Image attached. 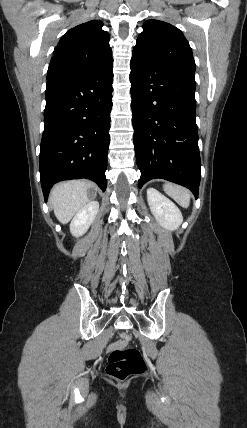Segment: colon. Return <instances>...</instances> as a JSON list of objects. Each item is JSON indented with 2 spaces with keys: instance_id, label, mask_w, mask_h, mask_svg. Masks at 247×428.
Segmentation results:
<instances>
[{
  "instance_id": "5ec220e1",
  "label": "colon",
  "mask_w": 247,
  "mask_h": 428,
  "mask_svg": "<svg viewBox=\"0 0 247 428\" xmlns=\"http://www.w3.org/2000/svg\"><path fill=\"white\" fill-rule=\"evenodd\" d=\"M106 370L111 377L117 380H125L134 374H140L145 371V363L141 353L130 346V336L128 334H123L112 345Z\"/></svg>"
}]
</instances>
